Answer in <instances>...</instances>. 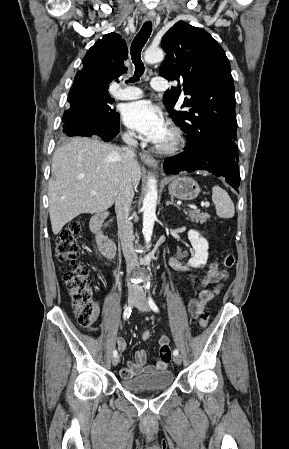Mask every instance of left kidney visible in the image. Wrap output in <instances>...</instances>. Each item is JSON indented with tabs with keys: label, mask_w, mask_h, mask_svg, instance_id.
I'll use <instances>...</instances> for the list:
<instances>
[{
	"label": "left kidney",
	"mask_w": 289,
	"mask_h": 449,
	"mask_svg": "<svg viewBox=\"0 0 289 449\" xmlns=\"http://www.w3.org/2000/svg\"><path fill=\"white\" fill-rule=\"evenodd\" d=\"M188 239L195 250V254L188 261V264L193 268H200L207 263L209 249L208 242L195 230H190L188 232Z\"/></svg>",
	"instance_id": "obj_1"
}]
</instances>
